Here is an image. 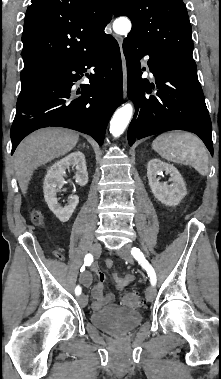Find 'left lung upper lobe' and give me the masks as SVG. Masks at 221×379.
I'll use <instances>...</instances> for the list:
<instances>
[{
	"label": "left lung upper lobe",
	"instance_id": "obj_1",
	"mask_svg": "<svg viewBox=\"0 0 221 379\" xmlns=\"http://www.w3.org/2000/svg\"><path fill=\"white\" fill-rule=\"evenodd\" d=\"M113 14L132 21L128 36L141 41L158 56L196 68L192 29L182 0H111Z\"/></svg>",
	"mask_w": 221,
	"mask_h": 379
}]
</instances>
